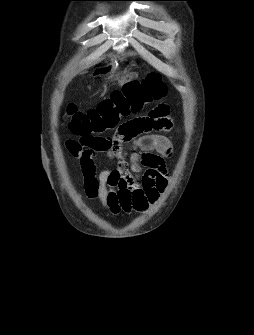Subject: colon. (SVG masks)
I'll return each instance as SVG.
<instances>
[{
  "instance_id": "obj_1",
  "label": "colon",
  "mask_w": 254,
  "mask_h": 335,
  "mask_svg": "<svg viewBox=\"0 0 254 335\" xmlns=\"http://www.w3.org/2000/svg\"><path fill=\"white\" fill-rule=\"evenodd\" d=\"M166 92L167 86L161 75L151 72L145 79L131 81L121 90L112 92L94 109L84 112L74 105L68 106V125L85 148L96 152L107 151L110 141L104 134L116 130L117 124H125L121 123L123 118L141 112Z\"/></svg>"
}]
</instances>
